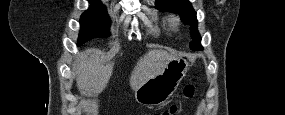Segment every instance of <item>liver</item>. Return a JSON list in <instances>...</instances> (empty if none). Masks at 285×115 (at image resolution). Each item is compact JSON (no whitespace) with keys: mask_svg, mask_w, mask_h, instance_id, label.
Here are the masks:
<instances>
[{"mask_svg":"<svg viewBox=\"0 0 285 115\" xmlns=\"http://www.w3.org/2000/svg\"><path fill=\"white\" fill-rule=\"evenodd\" d=\"M175 56L164 50H150L141 57L130 76V86L135 91L150 78L160 74ZM114 63L104 65L99 52L92 50L88 57L81 54L75 61L73 71L77 75V88L82 94L97 95L107 86L112 76Z\"/></svg>","mask_w":285,"mask_h":115,"instance_id":"6515ba94","label":"liver"}]
</instances>
